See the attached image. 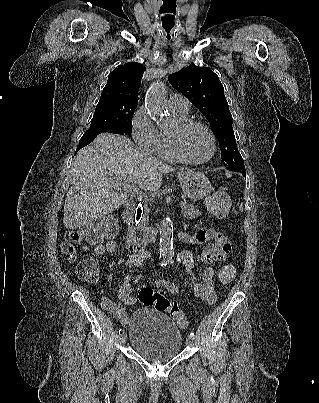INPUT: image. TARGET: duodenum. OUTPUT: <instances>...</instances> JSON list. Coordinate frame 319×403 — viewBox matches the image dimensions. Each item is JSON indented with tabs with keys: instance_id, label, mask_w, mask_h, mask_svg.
<instances>
[{
	"instance_id": "duodenum-1",
	"label": "duodenum",
	"mask_w": 319,
	"mask_h": 403,
	"mask_svg": "<svg viewBox=\"0 0 319 403\" xmlns=\"http://www.w3.org/2000/svg\"><path fill=\"white\" fill-rule=\"evenodd\" d=\"M139 206L140 204L138 200L134 198H129L126 200L124 210L122 212V219L126 232V245L128 249L142 253L146 244L155 240L158 234V227H148L141 236L136 234V230L133 226V219Z\"/></svg>"
}]
</instances>
